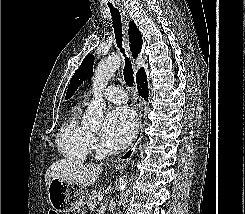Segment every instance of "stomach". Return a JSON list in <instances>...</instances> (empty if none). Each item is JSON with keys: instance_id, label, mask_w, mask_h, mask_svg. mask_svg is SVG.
I'll list each match as a JSON object with an SVG mask.
<instances>
[{"instance_id": "0dacf381", "label": "stomach", "mask_w": 245, "mask_h": 214, "mask_svg": "<svg viewBox=\"0 0 245 214\" xmlns=\"http://www.w3.org/2000/svg\"><path fill=\"white\" fill-rule=\"evenodd\" d=\"M48 197L51 206L61 213H70L84 207L88 190L86 187L52 178L48 184Z\"/></svg>"}]
</instances>
